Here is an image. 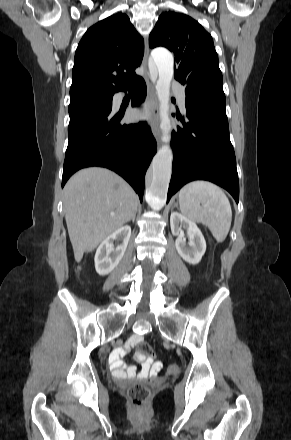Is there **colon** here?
<instances>
[{
    "label": "colon",
    "instance_id": "5ec220e1",
    "mask_svg": "<svg viewBox=\"0 0 291 440\" xmlns=\"http://www.w3.org/2000/svg\"><path fill=\"white\" fill-rule=\"evenodd\" d=\"M137 356L154 358L155 352L148 342L141 341L137 344ZM150 389L142 383H134L128 389V399L134 408L140 409L147 405L150 399Z\"/></svg>",
    "mask_w": 291,
    "mask_h": 440
}]
</instances>
